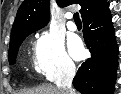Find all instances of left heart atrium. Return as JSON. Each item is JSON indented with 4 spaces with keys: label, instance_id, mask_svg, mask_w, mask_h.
I'll list each match as a JSON object with an SVG mask.
<instances>
[{
    "label": "left heart atrium",
    "instance_id": "left-heart-atrium-1",
    "mask_svg": "<svg viewBox=\"0 0 121 94\" xmlns=\"http://www.w3.org/2000/svg\"><path fill=\"white\" fill-rule=\"evenodd\" d=\"M69 48H70V52L71 54L75 57V58H80L83 56V48H82V44L80 42V40L76 37H73L70 40L69 43Z\"/></svg>",
    "mask_w": 121,
    "mask_h": 94
}]
</instances>
